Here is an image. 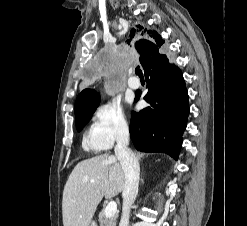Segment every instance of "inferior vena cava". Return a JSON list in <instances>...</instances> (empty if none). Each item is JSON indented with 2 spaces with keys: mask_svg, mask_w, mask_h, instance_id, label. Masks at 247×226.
<instances>
[{
  "mask_svg": "<svg viewBox=\"0 0 247 226\" xmlns=\"http://www.w3.org/2000/svg\"><path fill=\"white\" fill-rule=\"evenodd\" d=\"M116 141L115 155L125 174V185L122 192L123 208L119 226H129L130 208L138 194L140 167L134 153L128 148L129 129L127 126L119 128Z\"/></svg>",
  "mask_w": 247,
  "mask_h": 226,
  "instance_id": "1",
  "label": "inferior vena cava"
}]
</instances>
